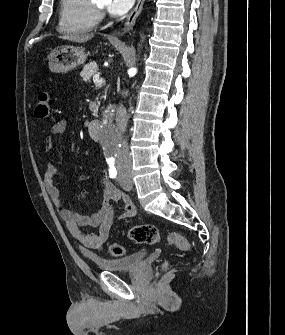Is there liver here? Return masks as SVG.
<instances>
[{"label": "liver", "instance_id": "6515ba94", "mask_svg": "<svg viewBox=\"0 0 285 335\" xmlns=\"http://www.w3.org/2000/svg\"><path fill=\"white\" fill-rule=\"evenodd\" d=\"M94 34H84V36H79V34H71V36H59L62 40H70V42H79V44H83V42H88L93 38Z\"/></svg>", "mask_w": 285, "mask_h": 335}]
</instances>
